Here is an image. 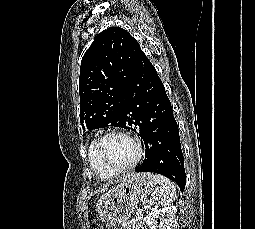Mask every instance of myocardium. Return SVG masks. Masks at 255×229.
<instances>
[{
	"instance_id": "obj_1",
	"label": "myocardium",
	"mask_w": 255,
	"mask_h": 229,
	"mask_svg": "<svg viewBox=\"0 0 255 229\" xmlns=\"http://www.w3.org/2000/svg\"><path fill=\"white\" fill-rule=\"evenodd\" d=\"M110 136H122L127 138L135 147V157L134 159L127 165L122 166V167H117L114 168L112 166L107 165L100 157L99 154V147L101 145V143L108 137ZM92 153L94 158L97 160V162L100 164V166L109 174L112 175H116L118 176L121 173L127 172L132 170L137 163L139 162V160L141 159L142 156V146L140 141L133 136L131 133L123 131V130H110L107 131L103 134H101L100 136H98L92 144Z\"/></svg>"
}]
</instances>
